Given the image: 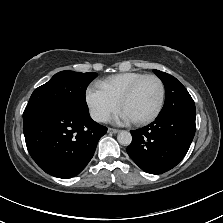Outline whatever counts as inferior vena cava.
I'll use <instances>...</instances> for the list:
<instances>
[{
    "instance_id": "inferior-vena-cava-1",
    "label": "inferior vena cava",
    "mask_w": 223,
    "mask_h": 223,
    "mask_svg": "<svg viewBox=\"0 0 223 223\" xmlns=\"http://www.w3.org/2000/svg\"><path fill=\"white\" fill-rule=\"evenodd\" d=\"M90 115L97 122H106L108 120L107 115H104L100 112H91Z\"/></svg>"
}]
</instances>
